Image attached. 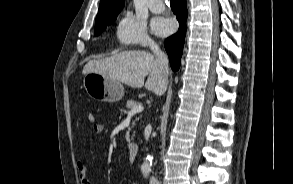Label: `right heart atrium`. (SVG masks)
Instances as JSON below:
<instances>
[{"label":"right heart atrium","mask_w":293,"mask_h":184,"mask_svg":"<svg viewBox=\"0 0 293 184\" xmlns=\"http://www.w3.org/2000/svg\"><path fill=\"white\" fill-rule=\"evenodd\" d=\"M117 44L120 48L143 47L154 49L155 42L149 36L146 24L130 13L124 14L115 29Z\"/></svg>","instance_id":"obj_1"}]
</instances>
